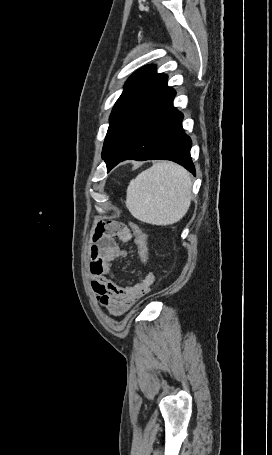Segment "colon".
<instances>
[{
    "label": "colon",
    "instance_id": "5ec220e1",
    "mask_svg": "<svg viewBox=\"0 0 272 455\" xmlns=\"http://www.w3.org/2000/svg\"><path fill=\"white\" fill-rule=\"evenodd\" d=\"M130 227L132 229L135 243L137 247V255L140 260L141 265L146 268L149 259V251H148V244H147V237L144 233L143 229L140 225L136 223H130Z\"/></svg>",
    "mask_w": 272,
    "mask_h": 455
}]
</instances>
